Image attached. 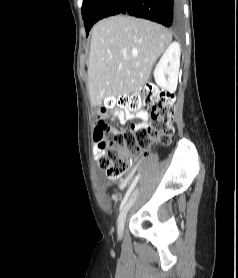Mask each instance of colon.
Segmentation results:
<instances>
[{
    "instance_id": "obj_1",
    "label": "colon",
    "mask_w": 238,
    "mask_h": 278,
    "mask_svg": "<svg viewBox=\"0 0 238 278\" xmlns=\"http://www.w3.org/2000/svg\"><path fill=\"white\" fill-rule=\"evenodd\" d=\"M174 101V95L153 87H145L131 96L105 99L97 113L94 138L100 140L102 148V155L98 159L99 167L108 177L117 178L125 173L132 163V155H147L153 142L169 144L174 132ZM115 106L148 112L152 118L150 126L131 132H118L112 140L104 139L107 126L100 115Z\"/></svg>"
}]
</instances>
